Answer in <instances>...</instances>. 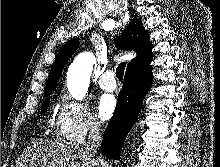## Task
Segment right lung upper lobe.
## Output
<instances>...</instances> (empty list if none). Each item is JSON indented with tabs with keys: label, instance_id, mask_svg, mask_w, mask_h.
<instances>
[{
	"label": "right lung upper lobe",
	"instance_id": "cb5924a9",
	"mask_svg": "<svg viewBox=\"0 0 220 167\" xmlns=\"http://www.w3.org/2000/svg\"><path fill=\"white\" fill-rule=\"evenodd\" d=\"M78 45L79 38H74L59 50L48 77L44 92L45 97L52 92L58 83L65 64L69 57L76 51ZM115 45L120 49L134 50L137 53L136 58L128 64L127 70L151 63L153 53L151 42L149 41V33L144 29L139 19L134 18L131 20L122 35L116 38Z\"/></svg>",
	"mask_w": 220,
	"mask_h": 167
}]
</instances>
